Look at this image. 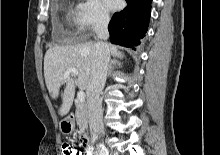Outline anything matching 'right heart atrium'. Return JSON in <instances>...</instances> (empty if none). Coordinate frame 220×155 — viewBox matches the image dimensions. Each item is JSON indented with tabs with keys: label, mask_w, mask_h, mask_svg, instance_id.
<instances>
[{
	"label": "right heart atrium",
	"mask_w": 220,
	"mask_h": 155,
	"mask_svg": "<svg viewBox=\"0 0 220 155\" xmlns=\"http://www.w3.org/2000/svg\"><path fill=\"white\" fill-rule=\"evenodd\" d=\"M110 17L99 0H82L75 7V26L82 34L106 27Z\"/></svg>",
	"instance_id": "d8ad5b80"
}]
</instances>
